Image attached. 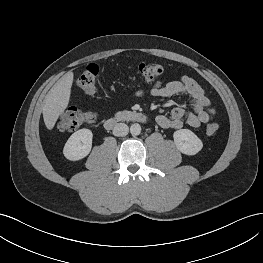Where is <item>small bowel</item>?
I'll return each instance as SVG.
<instances>
[{"mask_svg": "<svg viewBox=\"0 0 263 263\" xmlns=\"http://www.w3.org/2000/svg\"><path fill=\"white\" fill-rule=\"evenodd\" d=\"M149 93L155 98L179 94H185L189 98L191 110L177 107L171 111L170 115L160 114L156 117L157 124L165 129H180L184 125L196 128L209 122L216 113L214 105L205 95L202 87L188 76H182L178 80L165 84L157 81L150 88ZM141 95L142 92L138 91L137 96Z\"/></svg>", "mask_w": 263, "mask_h": 263, "instance_id": "obj_1", "label": "small bowel"}]
</instances>
